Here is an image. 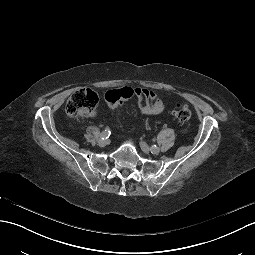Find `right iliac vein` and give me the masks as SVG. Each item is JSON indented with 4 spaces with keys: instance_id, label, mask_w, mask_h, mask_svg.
<instances>
[{
    "instance_id": "right-iliac-vein-1",
    "label": "right iliac vein",
    "mask_w": 255,
    "mask_h": 255,
    "mask_svg": "<svg viewBox=\"0 0 255 255\" xmlns=\"http://www.w3.org/2000/svg\"><path fill=\"white\" fill-rule=\"evenodd\" d=\"M108 144V140H106V139H104V140H99L98 141V145L100 146V147H104V146H106Z\"/></svg>"
}]
</instances>
